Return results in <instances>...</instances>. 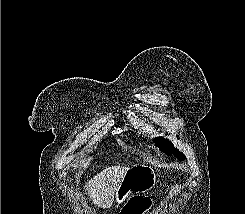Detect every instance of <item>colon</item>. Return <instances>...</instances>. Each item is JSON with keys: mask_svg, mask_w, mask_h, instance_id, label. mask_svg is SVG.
I'll return each instance as SVG.
<instances>
[{"mask_svg": "<svg viewBox=\"0 0 245 214\" xmlns=\"http://www.w3.org/2000/svg\"><path fill=\"white\" fill-rule=\"evenodd\" d=\"M150 205L147 199H131L121 214H142Z\"/></svg>", "mask_w": 245, "mask_h": 214, "instance_id": "colon-1", "label": "colon"}]
</instances>
